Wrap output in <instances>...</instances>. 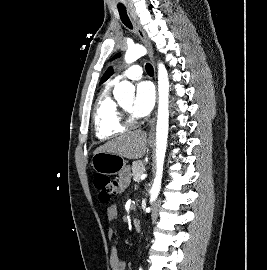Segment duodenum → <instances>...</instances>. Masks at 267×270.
Here are the masks:
<instances>
[{
    "label": "duodenum",
    "mask_w": 267,
    "mask_h": 270,
    "mask_svg": "<svg viewBox=\"0 0 267 270\" xmlns=\"http://www.w3.org/2000/svg\"><path fill=\"white\" fill-rule=\"evenodd\" d=\"M133 226L136 230H140L141 228V220L139 218L133 219Z\"/></svg>",
    "instance_id": "duodenum-1"
}]
</instances>
